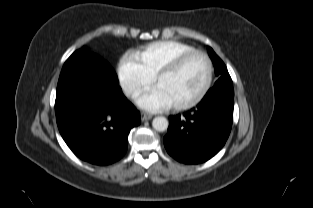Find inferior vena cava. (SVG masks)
<instances>
[{
    "instance_id": "obj_1",
    "label": "inferior vena cava",
    "mask_w": 313,
    "mask_h": 208,
    "mask_svg": "<svg viewBox=\"0 0 313 208\" xmlns=\"http://www.w3.org/2000/svg\"><path fill=\"white\" fill-rule=\"evenodd\" d=\"M124 92H125V94H126L127 96H129V95H131V94L134 92V89H133V88H126V89L124 90Z\"/></svg>"
}]
</instances>
